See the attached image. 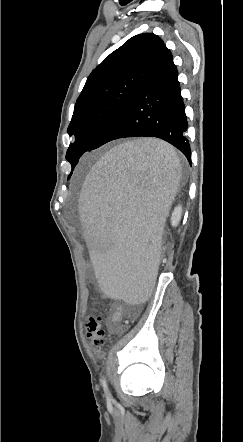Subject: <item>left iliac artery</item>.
Wrapping results in <instances>:
<instances>
[{"label":"left iliac artery","mask_w":243,"mask_h":442,"mask_svg":"<svg viewBox=\"0 0 243 442\" xmlns=\"http://www.w3.org/2000/svg\"><path fill=\"white\" fill-rule=\"evenodd\" d=\"M101 384L103 386V390H104V392L106 394L107 399H111V395H110V392H109V389H108L105 377H102Z\"/></svg>","instance_id":"left-iliac-artery-1"}]
</instances>
